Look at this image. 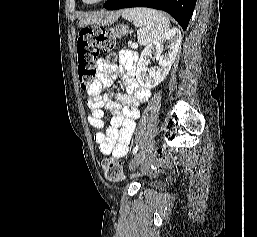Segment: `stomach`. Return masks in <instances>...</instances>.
<instances>
[{
    "label": "stomach",
    "mask_w": 257,
    "mask_h": 237,
    "mask_svg": "<svg viewBox=\"0 0 257 237\" xmlns=\"http://www.w3.org/2000/svg\"><path fill=\"white\" fill-rule=\"evenodd\" d=\"M129 28L126 25H120L115 29V34L118 36H124L128 33Z\"/></svg>",
    "instance_id": "stomach-1"
}]
</instances>
